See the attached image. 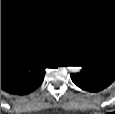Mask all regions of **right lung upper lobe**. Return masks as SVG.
<instances>
[{
	"mask_svg": "<svg viewBox=\"0 0 115 114\" xmlns=\"http://www.w3.org/2000/svg\"><path fill=\"white\" fill-rule=\"evenodd\" d=\"M26 58L27 55L23 50L11 42L1 40V59L22 60Z\"/></svg>",
	"mask_w": 115,
	"mask_h": 114,
	"instance_id": "right-lung-upper-lobe-1",
	"label": "right lung upper lobe"
}]
</instances>
